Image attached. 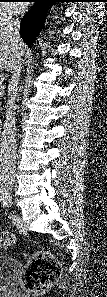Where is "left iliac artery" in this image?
I'll list each match as a JSON object with an SVG mask.
<instances>
[{
    "mask_svg": "<svg viewBox=\"0 0 107 297\" xmlns=\"http://www.w3.org/2000/svg\"><path fill=\"white\" fill-rule=\"evenodd\" d=\"M0 201H2V203L5 205L6 204V201H5V199H4V196H3V194L0 196Z\"/></svg>",
    "mask_w": 107,
    "mask_h": 297,
    "instance_id": "left-iliac-artery-1",
    "label": "left iliac artery"
}]
</instances>
